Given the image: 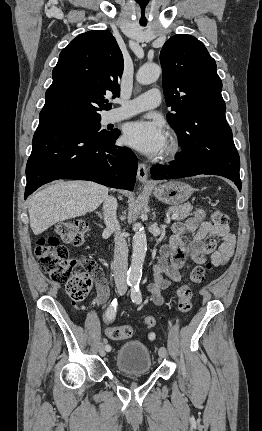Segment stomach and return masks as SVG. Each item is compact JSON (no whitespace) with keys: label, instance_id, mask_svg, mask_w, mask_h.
I'll use <instances>...</instances> for the list:
<instances>
[{"label":"stomach","instance_id":"1","mask_svg":"<svg viewBox=\"0 0 262 431\" xmlns=\"http://www.w3.org/2000/svg\"><path fill=\"white\" fill-rule=\"evenodd\" d=\"M153 195L165 204L181 206L191 196L193 189L187 183L172 180L152 188Z\"/></svg>","mask_w":262,"mask_h":431}]
</instances>
